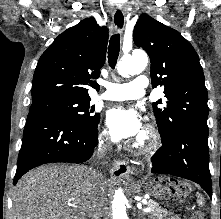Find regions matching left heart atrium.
Listing matches in <instances>:
<instances>
[{
  "label": "left heart atrium",
  "mask_w": 221,
  "mask_h": 219,
  "mask_svg": "<svg viewBox=\"0 0 221 219\" xmlns=\"http://www.w3.org/2000/svg\"><path fill=\"white\" fill-rule=\"evenodd\" d=\"M109 134L113 140H131L138 137L142 124L138 113L131 108L116 107L106 116Z\"/></svg>",
  "instance_id": "1"
}]
</instances>
